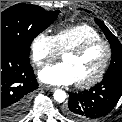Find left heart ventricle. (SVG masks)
<instances>
[{
	"instance_id": "b2bd125f",
	"label": "left heart ventricle",
	"mask_w": 122,
	"mask_h": 122,
	"mask_svg": "<svg viewBox=\"0 0 122 122\" xmlns=\"http://www.w3.org/2000/svg\"><path fill=\"white\" fill-rule=\"evenodd\" d=\"M105 54V47L96 45L81 56L64 54L62 60L71 67L76 82H83L96 75L103 64Z\"/></svg>"
}]
</instances>
